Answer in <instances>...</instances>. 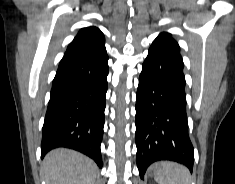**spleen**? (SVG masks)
Listing matches in <instances>:
<instances>
[{
    "instance_id": "1",
    "label": "spleen",
    "mask_w": 235,
    "mask_h": 184,
    "mask_svg": "<svg viewBox=\"0 0 235 184\" xmlns=\"http://www.w3.org/2000/svg\"><path fill=\"white\" fill-rule=\"evenodd\" d=\"M153 176L157 184H191L188 168L176 162H157Z\"/></svg>"
}]
</instances>
